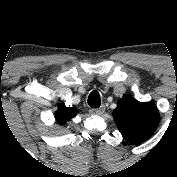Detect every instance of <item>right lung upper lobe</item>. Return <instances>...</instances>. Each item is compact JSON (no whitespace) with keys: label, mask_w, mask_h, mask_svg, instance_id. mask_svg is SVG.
Segmentation results:
<instances>
[{"label":"right lung upper lobe","mask_w":177,"mask_h":177,"mask_svg":"<svg viewBox=\"0 0 177 177\" xmlns=\"http://www.w3.org/2000/svg\"><path fill=\"white\" fill-rule=\"evenodd\" d=\"M74 107H66L64 103L60 104L55 112V118L58 124L63 125L77 114Z\"/></svg>","instance_id":"1"}]
</instances>
